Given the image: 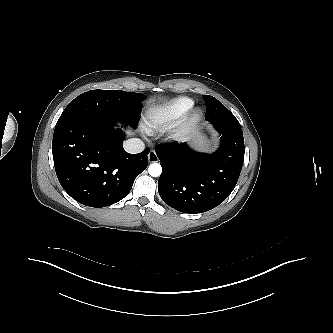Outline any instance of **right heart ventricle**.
Listing matches in <instances>:
<instances>
[{
	"mask_svg": "<svg viewBox=\"0 0 333 333\" xmlns=\"http://www.w3.org/2000/svg\"><path fill=\"white\" fill-rule=\"evenodd\" d=\"M193 106V101L187 97L172 99L150 110L147 120L146 129L149 131L161 129L174 122Z\"/></svg>",
	"mask_w": 333,
	"mask_h": 333,
	"instance_id": "right-heart-ventricle-1",
	"label": "right heart ventricle"
}]
</instances>
